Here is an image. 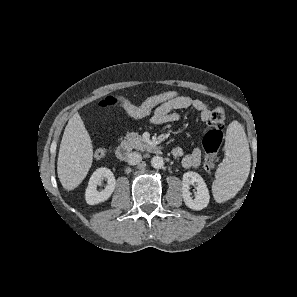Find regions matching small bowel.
Returning <instances> with one entry per match:
<instances>
[{
	"label": "small bowel",
	"instance_id": "obj_1",
	"mask_svg": "<svg viewBox=\"0 0 297 297\" xmlns=\"http://www.w3.org/2000/svg\"><path fill=\"white\" fill-rule=\"evenodd\" d=\"M123 107L126 112L134 118H141L152 112L151 122L156 125L177 121L180 118L179 111L188 108L198 111L202 122H207L210 115L209 107L204 101L184 95L161 103L147 111L142 110L141 104L135 105L131 101H126ZM172 154L175 157H182V165L184 168H197L201 163V150L199 148H194L189 153L184 154L181 147H175L172 150Z\"/></svg>",
	"mask_w": 297,
	"mask_h": 297
}]
</instances>
